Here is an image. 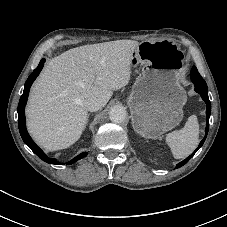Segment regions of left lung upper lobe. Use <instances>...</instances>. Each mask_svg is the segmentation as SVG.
<instances>
[{
    "mask_svg": "<svg viewBox=\"0 0 227 227\" xmlns=\"http://www.w3.org/2000/svg\"><path fill=\"white\" fill-rule=\"evenodd\" d=\"M191 77H197V79L200 82H205L204 79L200 76V74L195 66H193V68L191 70Z\"/></svg>",
    "mask_w": 227,
    "mask_h": 227,
    "instance_id": "obj_1",
    "label": "left lung upper lobe"
}]
</instances>
